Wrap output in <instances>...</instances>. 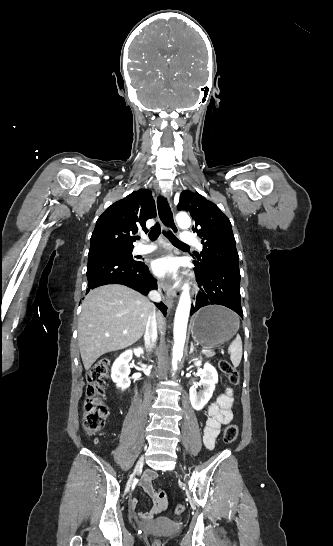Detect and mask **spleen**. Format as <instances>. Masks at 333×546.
I'll return each instance as SVG.
<instances>
[{
    "mask_svg": "<svg viewBox=\"0 0 333 546\" xmlns=\"http://www.w3.org/2000/svg\"><path fill=\"white\" fill-rule=\"evenodd\" d=\"M237 321H238V328H239V318L238 317H237ZM228 351L230 353V360H231L233 366H235V367L239 366L241 358H242V341H241V337L239 335H237L236 338L229 345Z\"/></svg>",
    "mask_w": 333,
    "mask_h": 546,
    "instance_id": "3e777b00",
    "label": "spleen"
}]
</instances>
